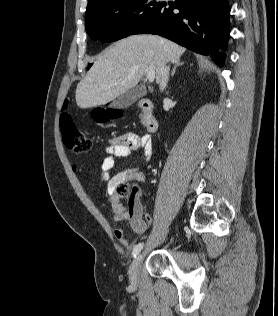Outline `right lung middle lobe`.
<instances>
[{
    "instance_id": "1",
    "label": "right lung middle lobe",
    "mask_w": 278,
    "mask_h": 316,
    "mask_svg": "<svg viewBox=\"0 0 278 316\" xmlns=\"http://www.w3.org/2000/svg\"><path fill=\"white\" fill-rule=\"evenodd\" d=\"M158 0H110L86 11V32L112 42L131 35L159 9Z\"/></svg>"
}]
</instances>
